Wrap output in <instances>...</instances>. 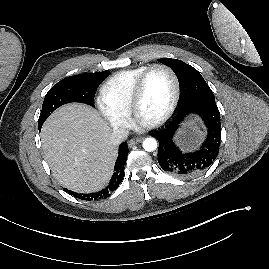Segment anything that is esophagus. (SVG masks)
I'll use <instances>...</instances> for the list:
<instances>
[{
	"mask_svg": "<svg viewBox=\"0 0 269 269\" xmlns=\"http://www.w3.org/2000/svg\"><path fill=\"white\" fill-rule=\"evenodd\" d=\"M141 141H143V138L142 137L133 138V139H131V140L128 141V146L129 147H132V146L140 143Z\"/></svg>",
	"mask_w": 269,
	"mask_h": 269,
	"instance_id": "1",
	"label": "esophagus"
}]
</instances>
